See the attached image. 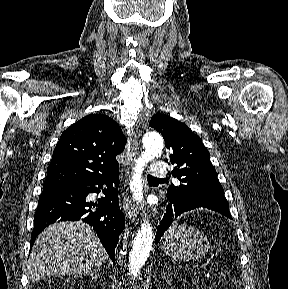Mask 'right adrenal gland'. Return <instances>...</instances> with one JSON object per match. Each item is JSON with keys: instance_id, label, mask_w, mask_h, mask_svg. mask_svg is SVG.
I'll return each instance as SVG.
<instances>
[{"instance_id": "1", "label": "right adrenal gland", "mask_w": 288, "mask_h": 289, "mask_svg": "<svg viewBox=\"0 0 288 289\" xmlns=\"http://www.w3.org/2000/svg\"><path fill=\"white\" fill-rule=\"evenodd\" d=\"M100 274L99 273H95V274H91V277L95 280L99 279Z\"/></svg>"}]
</instances>
